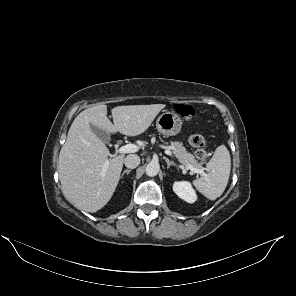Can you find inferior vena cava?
I'll list each match as a JSON object with an SVG mask.
<instances>
[{"instance_id":"1","label":"inferior vena cava","mask_w":296,"mask_h":296,"mask_svg":"<svg viewBox=\"0 0 296 296\" xmlns=\"http://www.w3.org/2000/svg\"><path fill=\"white\" fill-rule=\"evenodd\" d=\"M124 164L128 168H136L140 164V157L136 154H130L124 159Z\"/></svg>"}]
</instances>
